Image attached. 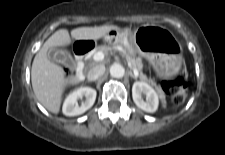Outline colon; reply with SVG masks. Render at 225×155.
I'll list each match as a JSON object with an SVG mask.
<instances>
[{"mask_svg": "<svg viewBox=\"0 0 225 155\" xmlns=\"http://www.w3.org/2000/svg\"><path fill=\"white\" fill-rule=\"evenodd\" d=\"M64 73L65 76L68 77L71 73V69L66 66L64 68ZM187 85V79L182 74L165 79L162 82L163 90L171 96L175 104H180L184 100L187 93Z\"/></svg>", "mask_w": 225, "mask_h": 155, "instance_id": "obj_1", "label": "colon"}]
</instances>
